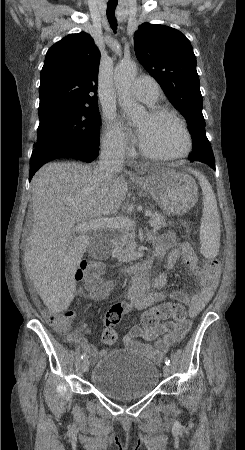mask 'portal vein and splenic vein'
<instances>
[{"label":"portal vein and splenic vein","mask_w":245,"mask_h":450,"mask_svg":"<svg viewBox=\"0 0 245 450\" xmlns=\"http://www.w3.org/2000/svg\"><path fill=\"white\" fill-rule=\"evenodd\" d=\"M145 217H151L152 212L146 211L144 213ZM134 226V221L128 217H117V218H98L86 222L77 224L73 231L76 233H84L91 230H100L105 228L114 229H129Z\"/></svg>","instance_id":"1"}]
</instances>
